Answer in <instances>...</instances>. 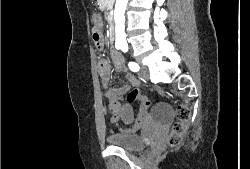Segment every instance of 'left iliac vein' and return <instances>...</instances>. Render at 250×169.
<instances>
[{
    "instance_id": "left-iliac-vein-1",
    "label": "left iliac vein",
    "mask_w": 250,
    "mask_h": 169,
    "mask_svg": "<svg viewBox=\"0 0 250 169\" xmlns=\"http://www.w3.org/2000/svg\"><path fill=\"white\" fill-rule=\"evenodd\" d=\"M138 74H139L140 78H142L144 80H149V73H148L147 67L142 66V68Z\"/></svg>"
}]
</instances>
